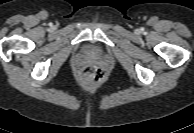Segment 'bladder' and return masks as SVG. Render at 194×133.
<instances>
[{
	"instance_id": "31cf9c89",
	"label": "bladder",
	"mask_w": 194,
	"mask_h": 133,
	"mask_svg": "<svg viewBox=\"0 0 194 133\" xmlns=\"http://www.w3.org/2000/svg\"><path fill=\"white\" fill-rule=\"evenodd\" d=\"M83 52L90 55H99L101 48L93 43H87L83 46Z\"/></svg>"
}]
</instances>
